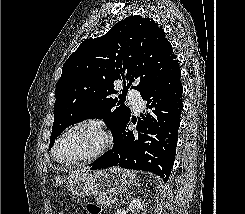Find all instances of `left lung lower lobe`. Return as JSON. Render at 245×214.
I'll return each instance as SVG.
<instances>
[{
  "mask_svg": "<svg viewBox=\"0 0 245 214\" xmlns=\"http://www.w3.org/2000/svg\"><path fill=\"white\" fill-rule=\"evenodd\" d=\"M181 70L174 65L155 86L141 94L147 101L137 123V131L128 130L126 121L112 150L96 159L92 170L119 166L152 172L168 181L176 154L180 115L183 109Z\"/></svg>",
  "mask_w": 245,
  "mask_h": 214,
  "instance_id": "1",
  "label": "left lung lower lobe"
}]
</instances>
